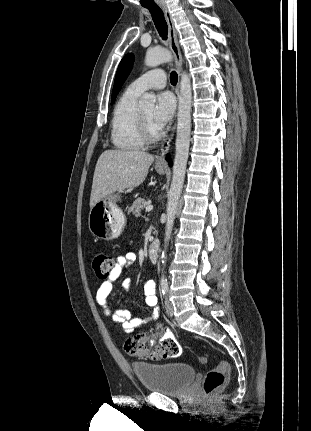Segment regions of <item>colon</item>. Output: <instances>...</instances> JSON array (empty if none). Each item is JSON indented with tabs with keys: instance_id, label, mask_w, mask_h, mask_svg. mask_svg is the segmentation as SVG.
Here are the masks:
<instances>
[{
	"instance_id": "obj_1",
	"label": "colon",
	"mask_w": 311,
	"mask_h": 431,
	"mask_svg": "<svg viewBox=\"0 0 311 431\" xmlns=\"http://www.w3.org/2000/svg\"><path fill=\"white\" fill-rule=\"evenodd\" d=\"M114 265L111 253L98 250L91 255V266L97 277L105 279L109 276ZM124 350L128 355L143 359H173L181 354V347L173 336H165L160 339H149L145 335H139L129 339L124 344ZM201 364L207 362V358H199ZM230 366L226 360H220L218 365L206 373L203 382V390L206 395L222 389L227 383Z\"/></svg>"
}]
</instances>
